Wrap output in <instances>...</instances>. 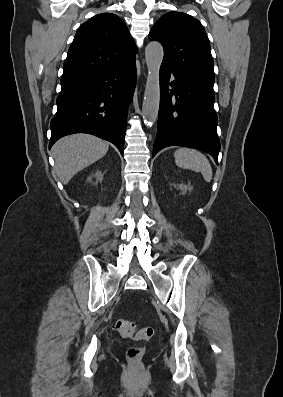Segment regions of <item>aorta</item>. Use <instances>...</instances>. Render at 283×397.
I'll list each match as a JSON object with an SVG mask.
<instances>
[{"label": "aorta", "instance_id": "762f6f07", "mask_svg": "<svg viewBox=\"0 0 283 397\" xmlns=\"http://www.w3.org/2000/svg\"><path fill=\"white\" fill-rule=\"evenodd\" d=\"M164 52L157 41L150 42L145 49V60L148 69V77L142 105V116L145 124L155 123L160 105V80L159 71Z\"/></svg>", "mask_w": 283, "mask_h": 397}]
</instances>
